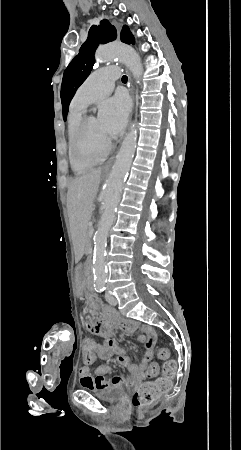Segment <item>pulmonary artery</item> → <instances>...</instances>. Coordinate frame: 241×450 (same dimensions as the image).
<instances>
[{
	"label": "pulmonary artery",
	"mask_w": 241,
	"mask_h": 450,
	"mask_svg": "<svg viewBox=\"0 0 241 450\" xmlns=\"http://www.w3.org/2000/svg\"><path fill=\"white\" fill-rule=\"evenodd\" d=\"M119 71L115 64H103L102 69H94L91 76L75 94L74 102L84 107L107 97L113 90V80Z\"/></svg>",
	"instance_id": "obj_1"
}]
</instances>
